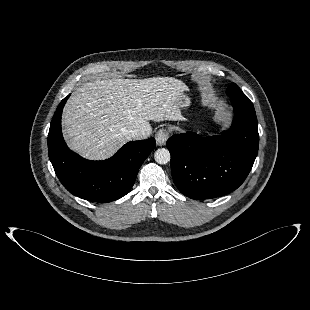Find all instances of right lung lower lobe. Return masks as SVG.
I'll list each match as a JSON object with an SVG mask.
<instances>
[{
    "mask_svg": "<svg viewBox=\"0 0 310 310\" xmlns=\"http://www.w3.org/2000/svg\"><path fill=\"white\" fill-rule=\"evenodd\" d=\"M68 97L58 105L48 134L49 158L57 177L70 193L88 201L111 202L123 197L154 150L155 139L128 142L107 160H86L71 151L62 136L61 115Z\"/></svg>",
    "mask_w": 310,
    "mask_h": 310,
    "instance_id": "1",
    "label": "right lung lower lobe"
}]
</instances>
